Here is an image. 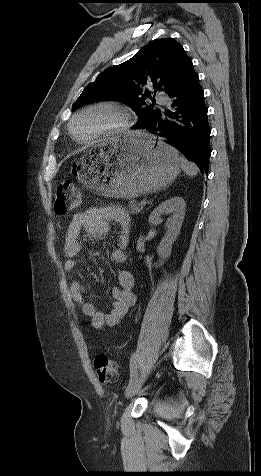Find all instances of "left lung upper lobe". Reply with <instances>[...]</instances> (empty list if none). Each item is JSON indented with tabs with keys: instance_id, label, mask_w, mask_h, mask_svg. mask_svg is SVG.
Masks as SVG:
<instances>
[{
	"instance_id": "1",
	"label": "left lung upper lobe",
	"mask_w": 261,
	"mask_h": 476,
	"mask_svg": "<svg viewBox=\"0 0 261 476\" xmlns=\"http://www.w3.org/2000/svg\"><path fill=\"white\" fill-rule=\"evenodd\" d=\"M192 65L177 41L171 38L155 39L131 59L100 73L93 83L84 88L72 110L90 102L119 100L139 115V122L134 126L138 129L160 113L153 105L145 106L146 98H151L145 87L153 85L155 90L170 94L182 83Z\"/></svg>"
}]
</instances>
